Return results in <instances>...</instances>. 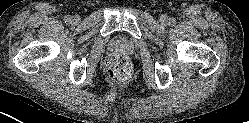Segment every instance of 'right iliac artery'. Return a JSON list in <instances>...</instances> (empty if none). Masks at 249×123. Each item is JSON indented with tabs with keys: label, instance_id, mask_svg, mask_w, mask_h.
<instances>
[{
	"label": "right iliac artery",
	"instance_id": "82829eb1",
	"mask_svg": "<svg viewBox=\"0 0 249 123\" xmlns=\"http://www.w3.org/2000/svg\"><path fill=\"white\" fill-rule=\"evenodd\" d=\"M72 21V17L70 15L65 17V22L69 23Z\"/></svg>",
	"mask_w": 249,
	"mask_h": 123
}]
</instances>
